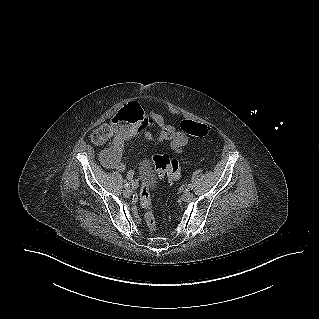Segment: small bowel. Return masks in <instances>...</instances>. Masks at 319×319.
<instances>
[{
	"instance_id": "small-bowel-1",
	"label": "small bowel",
	"mask_w": 319,
	"mask_h": 319,
	"mask_svg": "<svg viewBox=\"0 0 319 319\" xmlns=\"http://www.w3.org/2000/svg\"><path fill=\"white\" fill-rule=\"evenodd\" d=\"M162 123L165 121L160 114L143 108L139 101H122L121 108L110 112L106 118L91 128L89 139L97 147L107 145L100 153V161L105 167L119 172L127 171V175L131 177L133 173L127 170L122 159L126 142L138 134L156 140L149 129L158 128ZM171 149L175 153L182 152L179 149Z\"/></svg>"
}]
</instances>
